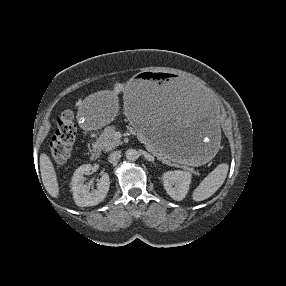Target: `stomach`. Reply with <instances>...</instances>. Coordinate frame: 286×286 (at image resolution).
I'll return each mask as SVG.
<instances>
[{"label":"stomach","mask_w":286,"mask_h":286,"mask_svg":"<svg viewBox=\"0 0 286 286\" xmlns=\"http://www.w3.org/2000/svg\"><path fill=\"white\" fill-rule=\"evenodd\" d=\"M121 108L119 94L100 87L78 102L75 116L82 127L97 130L115 119ZM124 114L151 147L173 162L198 166L214 155L221 109L190 79L167 71L137 74L126 87Z\"/></svg>","instance_id":"stomach-1"}]
</instances>
